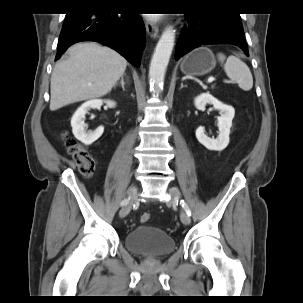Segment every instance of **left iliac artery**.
Here are the masks:
<instances>
[{"label":"left iliac artery","instance_id":"left-iliac-artery-1","mask_svg":"<svg viewBox=\"0 0 303 303\" xmlns=\"http://www.w3.org/2000/svg\"><path fill=\"white\" fill-rule=\"evenodd\" d=\"M180 204H181L182 208L185 210V212H186L189 216H191V210H190L188 204H187L184 200H181V201H180Z\"/></svg>","mask_w":303,"mask_h":303}]
</instances>
